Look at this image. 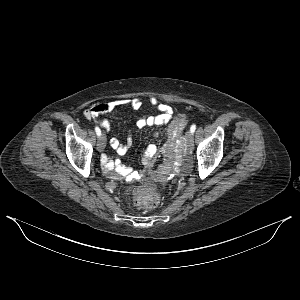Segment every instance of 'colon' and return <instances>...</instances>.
<instances>
[{
	"label": "colon",
	"instance_id": "colon-1",
	"mask_svg": "<svg viewBox=\"0 0 300 300\" xmlns=\"http://www.w3.org/2000/svg\"><path fill=\"white\" fill-rule=\"evenodd\" d=\"M185 124V117L183 115H178L171 122L168 128V136L171 139V142L165 147L164 151L168 155L169 161L175 152L174 141ZM156 179L158 181H163L165 179V174L163 172H158L156 174ZM136 185H131L129 187V192L135 195L134 201L139 208L152 209L159 205L160 198L158 193L155 191L158 187V182L155 179H150L147 183H145L143 178H138L136 180Z\"/></svg>",
	"mask_w": 300,
	"mask_h": 300
}]
</instances>
